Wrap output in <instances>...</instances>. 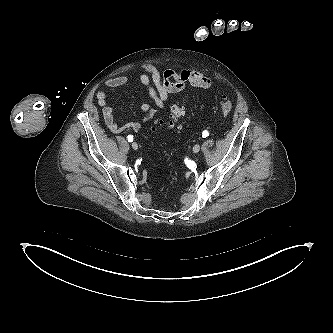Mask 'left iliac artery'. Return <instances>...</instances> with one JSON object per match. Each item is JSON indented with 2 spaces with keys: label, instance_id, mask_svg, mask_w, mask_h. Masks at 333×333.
Returning <instances> with one entry per match:
<instances>
[{
  "label": "left iliac artery",
  "instance_id": "obj_1",
  "mask_svg": "<svg viewBox=\"0 0 333 333\" xmlns=\"http://www.w3.org/2000/svg\"><path fill=\"white\" fill-rule=\"evenodd\" d=\"M208 135H209V132H208L207 130H204V131L202 132V137H203V138H206Z\"/></svg>",
  "mask_w": 333,
  "mask_h": 333
}]
</instances>
